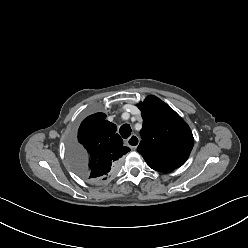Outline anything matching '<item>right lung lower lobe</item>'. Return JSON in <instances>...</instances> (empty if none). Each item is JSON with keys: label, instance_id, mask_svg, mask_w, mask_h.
<instances>
[{"label": "right lung lower lobe", "instance_id": "98d812e1", "mask_svg": "<svg viewBox=\"0 0 248 248\" xmlns=\"http://www.w3.org/2000/svg\"><path fill=\"white\" fill-rule=\"evenodd\" d=\"M117 168H118V165H116V166L110 171V173L108 174V176H106V177H104V178H100V179H94L93 182H101V181H104V180L109 179L111 176H113V175L116 173Z\"/></svg>", "mask_w": 248, "mask_h": 248}]
</instances>
